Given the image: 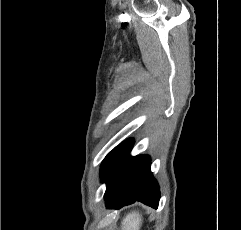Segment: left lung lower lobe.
I'll list each match as a JSON object with an SVG mask.
<instances>
[{"mask_svg":"<svg viewBox=\"0 0 241 230\" xmlns=\"http://www.w3.org/2000/svg\"><path fill=\"white\" fill-rule=\"evenodd\" d=\"M133 139H128L113 149L101 166V180L106 182L105 201L108 209L141 201L158 207L160 191L150 172L148 156L131 157Z\"/></svg>","mask_w":241,"mask_h":230,"instance_id":"1","label":"left lung lower lobe"}]
</instances>
